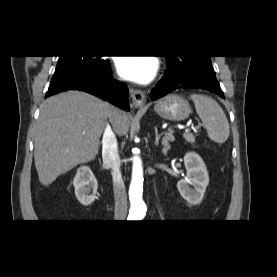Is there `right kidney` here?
Instances as JSON below:
<instances>
[{
    "label": "right kidney",
    "mask_w": 277,
    "mask_h": 277,
    "mask_svg": "<svg viewBox=\"0 0 277 277\" xmlns=\"http://www.w3.org/2000/svg\"><path fill=\"white\" fill-rule=\"evenodd\" d=\"M73 186L75 188V195L82 205L88 206L95 200L98 183L88 166H81L77 169Z\"/></svg>",
    "instance_id": "obj_1"
}]
</instances>
